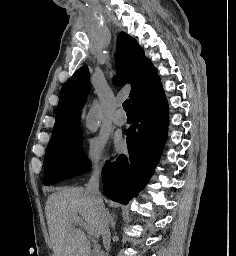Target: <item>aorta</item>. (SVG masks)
<instances>
[{
  "label": "aorta",
  "mask_w": 236,
  "mask_h": 256,
  "mask_svg": "<svg viewBox=\"0 0 236 256\" xmlns=\"http://www.w3.org/2000/svg\"><path fill=\"white\" fill-rule=\"evenodd\" d=\"M100 106L99 104H94L90 109L87 118H86V126L91 132H96L100 125Z\"/></svg>",
  "instance_id": "1"
}]
</instances>
